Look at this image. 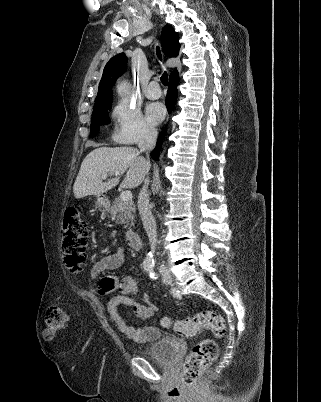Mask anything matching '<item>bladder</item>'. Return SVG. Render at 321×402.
<instances>
[{"label": "bladder", "instance_id": "1", "mask_svg": "<svg viewBox=\"0 0 321 402\" xmlns=\"http://www.w3.org/2000/svg\"><path fill=\"white\" fill-rule=\"evenodd\" d=\"M157 339L142 350V355L163 366L174 364L181 348V340L172 334L158 331Z\"/></svg>", "mask_w": 321, "mask_h": 402}]
</instances>
